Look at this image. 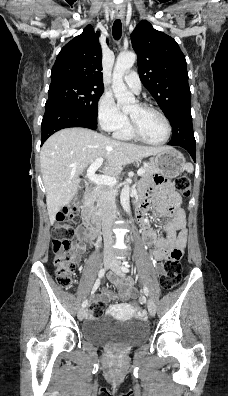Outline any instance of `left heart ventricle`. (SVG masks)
I'll return each instance as SVG.
<instances>
[{"instance_id":"obj_1","label":"left heart ventricle","mask_w":228,"mask_h":396,"mask_svg":"<svg viewBox=\"0 0 228 396\" xmlns=\"http://www.w3.org/2000/svg\"><path fill=\"white\" fill-rule=\"evenodd\" d=\"M128 115L147 140L159 142L165 138L166 126L157 113L144 110L138 104H135L129 110Z\"/></svg>"}]
</instances>
